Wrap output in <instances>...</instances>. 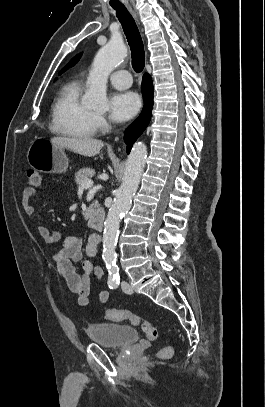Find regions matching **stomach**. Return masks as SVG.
Here are the masks:
<instances>
[{
    "instance_id": "obj_1",
    "label": "stomach",
    "mask_w": 265,
    "mask_h": 407,
    "mask_svg": "<svg viewBox=\"0 0 265 407\" xmlns=\"http://www.w3.org/2000/svg\"><path fill=\"white\" fill-rule=\"evenodd\" d=\"M27 160L32 168L42 173H64L69 165L64 148L44 139L31 144Z\"/></svg>"
}]
</instances>
